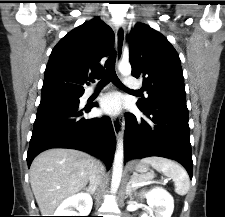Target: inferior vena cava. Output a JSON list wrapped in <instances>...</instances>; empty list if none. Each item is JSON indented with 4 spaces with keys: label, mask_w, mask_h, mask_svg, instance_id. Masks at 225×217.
Returning <instances> with one entry per match:
<instances>
[{
    "label": "inferior vena cava",
    "mask_w": 225,
    "mask_h": 217,
    "mask_svg": "<svg viewBox=\"0 0 225 217\" xmlns=\"http://www.w3.org/2000/svg\"><path fill=\"white\" fill-rule=\"evenodd\" d=\"M104 168L102 166V164L99 161H95V165L94 168L89 176V182H90V193L92 191L95 192L97 185L101 182V178H102V172H103ZM92 194V193H91Z\"/></svg>",
    "instance_id": "1"
}]
</instances>
